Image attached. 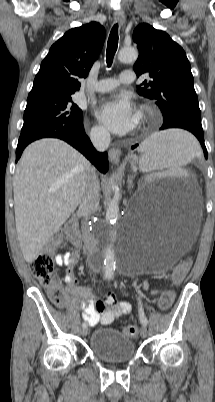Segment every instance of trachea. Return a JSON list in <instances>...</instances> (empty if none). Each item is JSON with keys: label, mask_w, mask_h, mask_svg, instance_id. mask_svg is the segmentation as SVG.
Listing matches in <instances>:
<instances>
[{"label": "trachea", "mask_w": 215, "mask_h": 402, "mask_svg": "<svg viewBox=\"0 0 215 402\" xmlns=\"http://www.w3.org/2000/svg\"><path fill=\"white\" fill-rule=\"evenodd\" d=\"M117 47H118V24H115L111 29L107 43L106 62L109 66L112 63V59L116 53Z\"/></svg>", "instance_id": "3493384b"}]
</instances>
